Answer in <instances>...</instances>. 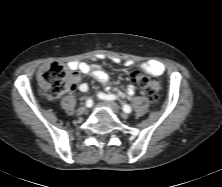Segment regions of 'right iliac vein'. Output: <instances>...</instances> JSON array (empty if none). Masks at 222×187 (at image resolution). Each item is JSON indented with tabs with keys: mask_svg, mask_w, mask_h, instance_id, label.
Returning <instances> with one entry per match:
<instances>
[{
	"mask_svg": "<svg viewBox=\"0 0 222 187\" xmlns=\"http://www.w3.org/2000/svg\"><path fill=\"white\" fill-rule=\"evenodd\" d=\"M87 108L85 106H81L77 109L76 113L77 115H82L86 112Z\"/></svg>",
	"mask_w": 222,
	"mask_h": 187,
	"instance_id": "obj_1",
	"label": "right iliac vein"
}]
</instances>
